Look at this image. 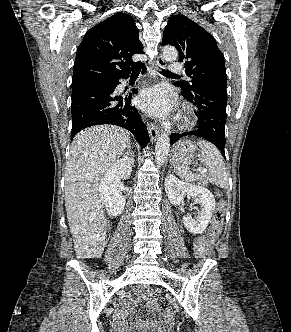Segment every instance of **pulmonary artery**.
Wrapping results in <instances>:
<instances>
[{
	"label": "pulmonary artery",
	"instance_id": "obj_1",
	"mask_svg": "<svg viewBox=\"0 0 291 332\" xmlns=\"http://www.w3.org/2000/svg\"><path fill=\"white\" fill-rule=\"evenodd\" d=\"M169 69L173 74H181L184 71L181 64H179L177 62L171 63L169 66Z\"/></svg>",
	"mask_w": 291,
	"mask_h": 332
}]
</instances>
